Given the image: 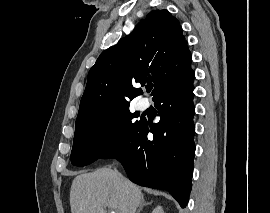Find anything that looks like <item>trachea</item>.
Instances as JSON below:
<instances>
[{
	"mask_svg": "<svg viewBox=\"0 0 270 213\" xmlns=\"http://www.w3.org/2000/svg\"><path fill=\"white\" fill-rule=\"evenodd\" d=\"M151 89H152L151 87L147 88V92H150V91H151Z\"/></svg>",
	"mask_w": 270,
	"mask_h": 213,
	"instance_id": "trachea-1",
	"label": "trachea"
}]
</instances>
